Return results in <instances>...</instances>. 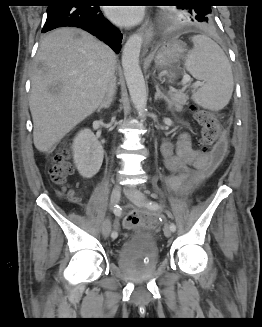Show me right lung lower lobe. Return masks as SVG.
<instances>
[{
	"label": "right lung lower lobe",
	"mask_w": 262,
	"mask_h": 327,
	"mask_svg": "<svg viewBox=\"0 0 262 327\" xmlns=\"http://www.w3.org/2000/svg\"><path fill=\"white\" fill-rule=\"evenodd\" d=\"M53 3L47 8L43 33L59 27H78L104 41L119 53L122 34L106 20L99 6H85L78 0H53Z\"/></svg>",
	"instance_id": "obj_1"
}]
</instances>
